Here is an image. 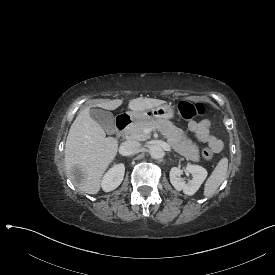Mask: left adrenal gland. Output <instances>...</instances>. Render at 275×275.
Instances as JSON below:
<instances>
[{
    "instance_id": "left-adrenal-gland-1",
    "label": "left adrenal gland",
    "mask_w": 275,
    "mask_h": 275,
    "mask_svg": "<svg viewBox=\"0 0 275 275\" xmlns=\"http://www.w3.org/2000/svg\"><path fill=\"white\" fill-rule=\"evenodd\" d=\"M173 156H174L175 158H177V155H176V154H173Z\"/></svg>"
}]
</instances>
